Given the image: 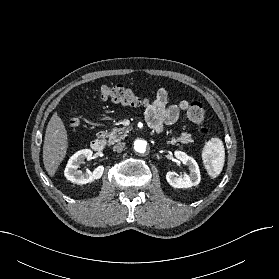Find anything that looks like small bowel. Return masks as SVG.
I'll use <instances>...</instances> for the list:
<instances>
[{
  "label": "small bowel",
  "instance_id": "c3829d8e",
  "mask_svg": "<svg viewBox=\"0 0 279 279\" xmlns=\"http://www.w3.org/2000/svg\"><path fill=\"white\" fill-rule=\"evenodd\" d=\"M168 98V91L165 88H160L155 99L146 108L147 122L157 132H161L164 125L175 123L180 113L190 106L187 100H180L168 105Z\"/></svg>",
  "mask_w": 279,
  "mask_h": 279
}]
</instances>
